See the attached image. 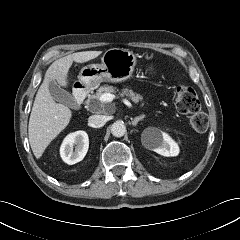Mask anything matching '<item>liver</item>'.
<instances>
[{"label":"liver","mask_w":240,"mask_h":240,"mask_svg":"<svg viewBox=\"0 0 240 240\" xmlns=\"http://www.w3.org/2000/svg\"><path fill=\"white\" fill-rule=\"evenodd\" d=\"M101 53V51L73 53L54 61L47 69L36 94L28 125L29 143L37 159L43 155L50 142L67 127L72 116L67 106L56 103L51 97L49 82L56 80L60 85L67 86L68 72L73 62H88Z\"/></svg>","instance_id":"obj_1"}]
</instances>
